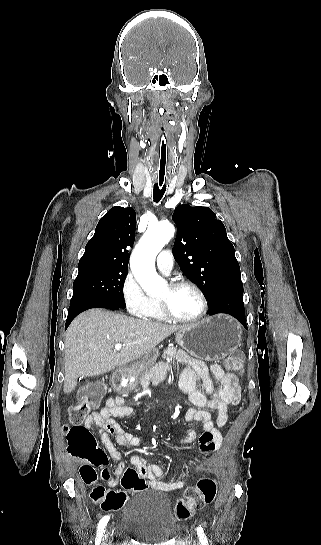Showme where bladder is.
Wrapping results in <instances>:
<instances>
[{
  "label": "bladder",
  "mask_w": 321,
  "mask_h": 545,
  "mask_svg": "<svg viewBox=\"0 0 321 545\" xmlns=\"http://www.w3.org/2000/svg\"><path fill=\"white\" fill-rule=\"evenodd\" d=\"M122 526L135 540L148 545L168 542L178 530L170 500L159 490L136 493L122 512Z\"/></svg>",
  "instance_id": "1"
}]
</instances>
